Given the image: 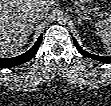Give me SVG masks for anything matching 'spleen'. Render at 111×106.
Masks as SVG:
<instances>
[{
	"label": "spleen",
	"mask_w": 111,
	"mask_h": 106,
	"mask_svg": "<svg viewBox=\"0 0 111 106\" xmlns=\"http://www.w3.org/2000/svg\"><path fill=\"white\" fill-rule=\"evenodd\" d=\"M95 29L98 36L102 38L107 53L111 55V18L97 22Z\"/></svg>",
	"instance_id": "1"
}]
</instances>
